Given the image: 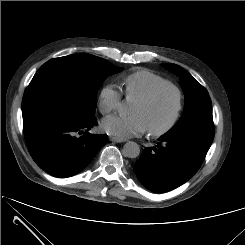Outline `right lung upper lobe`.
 <instances>
[{"mask_svg": "<svg viewBox=\"0 0 245 245\" xmlns=\"http://www.w3.org/2000/svg\"><path fill=\"white\" fill-rule=\"evenodd\" d=\"M65 57L51 59L46 62L34 75L31 83L47 84V83H63L66 78L70 77L68 69L59 65H54L55 62ZM28 131V130H25Z\"/></svg>", "mask_w": 245, "mask_h": 245, "instance_id": "obj_1", "label": "right lung upper lobe"}]
</instances>
